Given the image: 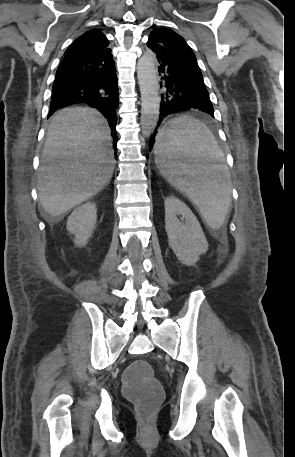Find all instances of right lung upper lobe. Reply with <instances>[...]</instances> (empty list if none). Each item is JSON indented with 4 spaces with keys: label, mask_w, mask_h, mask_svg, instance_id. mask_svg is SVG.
Here are the masks:
<instances>
[{
    "label": "right lung upper lobe",
    "mask_w": 295,
    "mask_h": 457,
    "mask_svg": "<svg viewBox=\"0 0 295 457\" xmlns=\"http://www.w3.org/2000/svg\"><path fill=\"white\" fill-rule=\"evenodd\" d=\"M109 45L106 36L98 29L87 31L78 37L65 51L64 59L97 54Z\"/></svg>",
    "instance_id": "right-lung-upper-lobe-1"
}]
</instances>
